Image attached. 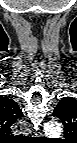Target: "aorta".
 I'll return each mask as SVG.
<instances>
[{"instance_id": "obj_1", "label": "aorta", "mask_w": 77, "mask_h": 143, "mask_svg": "<svg viewBox=\"0 0 77 143\" xmlns=\"http://www.w3.org/2000/svg\"><path fill=\"white\" fill-rule=\"evenodd\" d=\"M44 130L47 135H51L60 133L62 131V127L60 123L51 121L45 124Z\"/></svg>"}]
</instances>
